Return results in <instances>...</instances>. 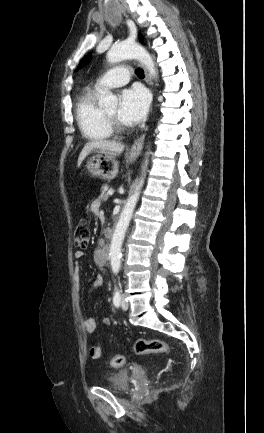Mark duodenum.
<instances>
[{
	"label": "duodenum",
	"mask_w": 264,
	"mask_h": 433,
	"mask_svg": "<svg viewBox=\"0 0 264 433\" xmlns=\"http://www.w3.org/2000/svg\"><path fill=\"white\" fill-rule=\"evenodd\" d=\"M106 234L108 237H112L113 235V229L112 228H107L106 230ZM108 253H109V248L108 246L102 245L100 246L97 250H96V261L99 264H104L107 259H108Z\"/></svg>",
	"instance_id": "obj_1"
}]
</instances>
